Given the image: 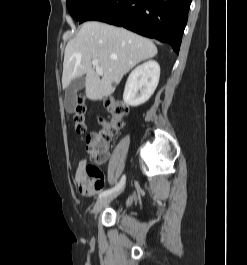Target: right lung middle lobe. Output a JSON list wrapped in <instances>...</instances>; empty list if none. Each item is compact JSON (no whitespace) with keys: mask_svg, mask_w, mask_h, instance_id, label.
<instances>
[{"mask_svg":"<svg viewBox=\"0 0 247 265\" xmlns=\"http://www.w3.org/2000/svg\"><path fill=\"white\" fill-rule=\"evenodd\" d=\"M99 0H67V8L72 17L79 21Z\"/></svg>","mask_w":247,"mask_h":265,"instance_id":"dd1d6c3e","label":"right lung middle lobe"}]
</instances>
